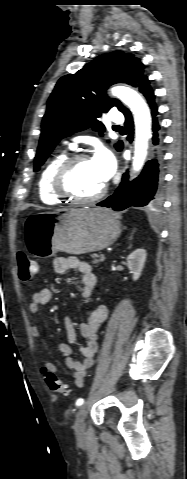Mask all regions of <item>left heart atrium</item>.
<instances>
[{
    "label": "left heart atrium",
    "instance_id": "1",
    "mask_svg": "<svg viewBox=\"0 0 187 479\" xmlns=\"http://www.w3.org/2000/svg\"><path fill=\"white\" fill-rule=\"evenodd\" d=\"M101 179L107 182L115 172L116 162L113 155L104 147H99L91 158Z\"/></svg>",
    "mask_w": 187,
    "mask_h": 479
}]
</instances>
